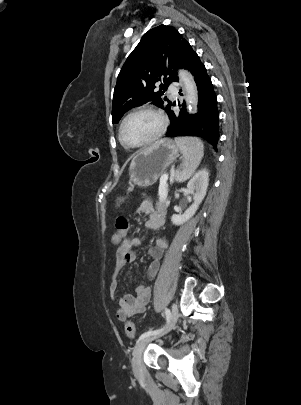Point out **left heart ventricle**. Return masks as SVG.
Wrapping results in <instances>:
<instances>
[{
  "mask_svg": "<svg viewBox=\"0 0 301 405\" xmlns=\"http://www.w3.org/2000/svg\"><path fill=\"white\" fill-rule=\"evenodd\" d=\"M159 125L160 121L154 114L138 113L127 120L123 128V137L130 144H139L151 138Z\"/></svg>",
  "mask_w": 301,
  "mask_h": 405,
  "instance_id": "b2bd125f",
  "label": "left heart ventricle"
}]
</instances>
